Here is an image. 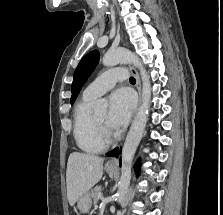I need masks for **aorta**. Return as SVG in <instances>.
<instances>
[{
    "label": "aorta",
    "mask_w": 223,
    "mask_h": 215,
    "mask_svg": "<svg viewBox=\"0 0 223 215\" xmlns=\"http://www.w3.org/2000/svg\"><path fill=\"white\" fill-rule=\"evenodd\" d=\"M134 64L138 68L143 84L141 94V104L138 109L135 119L127 133L122 149V167L119 187L116 195V201L123 203L127 189L130 185L131 179V163L133 155L136 151L138 143L143 135L145 125L147 123V115L150 108L151 100V84L149 82L148 74L142 66V62L136 54H132L126 48H115V50H108L102 58L103 66H117V64ZM95 106L99 111H106L108 104L106 100H96Z\"/></svg>",
    "instance_id": "aorta-1"
}]
</instances>
